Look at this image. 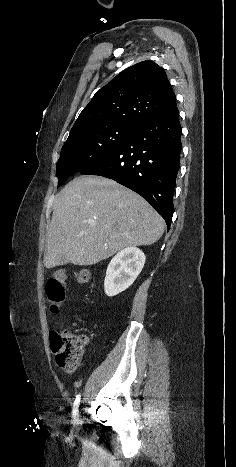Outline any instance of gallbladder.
I'll list each match as a JSON object with an SVG mask.
<instances>
[{
	"label": "gallbladder",
	"mask_w": 236,
	"mask_h": 467,
	"mask_svg": "<svg viewBox=\"0 0 236 467\" xmlns=\"http://www.w3.org/2000/svg\"><path fill=\"white\" fill-rule=\"evenodd\" d=\"M62 261H63V263H64V264H66V263H67L63 257H62Z\"/></svg>",
	"instance_id": "bac80fb5"
}]
</instances>
